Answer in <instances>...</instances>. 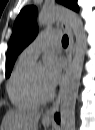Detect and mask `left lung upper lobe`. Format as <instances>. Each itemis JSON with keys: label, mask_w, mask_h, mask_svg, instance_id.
Instances as JSON below:
<instances>
[{"label": "left lung upper lobe", "mask_w": 95, "mask_h": 130, "mask_svg": "<svg viewBox=\"0 0 95 130\" xmlns=\"http://www.w3.org/2000/svg\"><path fill=\"white\" fill-rule=\"evenodd\" d=\"M65 6L78 11L77 0H58ZM37 8L28 6L21 10L15 20L12 36L9 41L7 62H6V77L10 76L14 62L18 54L33 41L38 32L36 24Z\"/></svg>", "instance_id": "obj_1"}]
</instances>
